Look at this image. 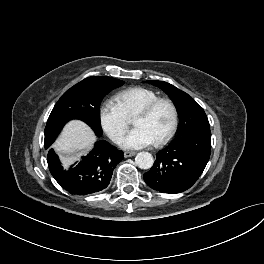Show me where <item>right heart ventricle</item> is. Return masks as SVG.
Returning a JSON list of instances; mask_svg holds the SVG:
<instances>
[{"instance_id": "e07e8e85", "label": "right heart ventricle", "mask_w": 264, "mask_h": 264, "mask_svg": "<svg viewBox=\"0 0 264 264\" xmlns=\"http://www.w3.org/2000/svg\"><path fill=\"white\" fill-rule=\"evenodd\" d=\"M160 97L157 92L146 87H131L116 94V101L128 118L134 117L145 105Z\"/></svg>"}]
</instances>
